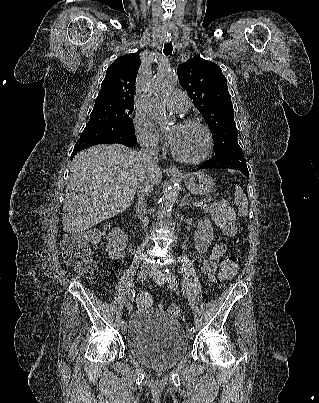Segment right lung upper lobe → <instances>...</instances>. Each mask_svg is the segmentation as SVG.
Returning <instances> with one entry per match:
<instances>
[{"label": "right lung upper lobe", "mask_w": 319, "mask_h": 403, "mask_svg": "<svg viewBox=\"0 0 319 403\" xmlns=\"http://www.w3.org/2000/svg\"><path fill=\"white\" fill-rule=\"evenodd\" d=\"M140 65L141 60L137 53L116 59L107 69L95 102L133 105L135 81Z\"/></svg>", "instance_id": "obj_1"}]
</instances>
